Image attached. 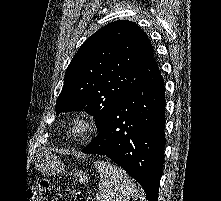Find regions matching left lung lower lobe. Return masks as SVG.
Listing matches in <instances>:
<instances>
[{
    "instance_id": "0a47b994",
    "label": "left lung lower lobe",
    "mask_w": 221,
    "mask_h": 201,
    "mask_svg": "<svg viewBox=\"0 0 221 201\" xmlns=\"http://www.w3.org/2000/svg\"><path fill=\"white\" fill-rule=\"evenodd\" d=\"M165 91L159 68L119 101L84 153L106 155L157 201L165 146Z\"/></svg>"
}]
</instances>
